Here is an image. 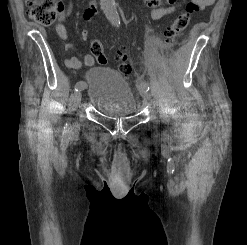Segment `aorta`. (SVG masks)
I'll use <instances>...</instances> for the list:
<instances>
[{"label": "aorta", "instance_id": "1", "mask_svg": "<svg viewBox=\"0 0 247 245\" xmlns=\"http://www.w3.org/2000/svg\"><path fill=\"white\" fill-rule=\"evenodd\" d=\"M103 9L107 19L112 24H120V17L117 12L115 0H102Z\"/></svg>", "mask_w": 247, "mask_h": 245}]
</instances>
